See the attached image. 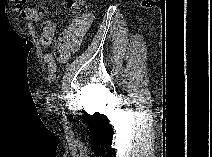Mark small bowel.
<instances>
[{
	"label": "small bowel",
	"instance_id": "c3829d8e",
	"mask_svg": "<svg viewBox=\"0 0 212 157\" xmlns=\"http://www.w3.org/2000/svg\"><path fill=\"white\" fill-rule=\"evenodd\" d=\"M27 0H17L18 13L30 22H36L40 25L39 43L42 46H49L52 44L56 25L53 21L44 19L41 11L35 8L25 7ZM93 21L91 13H85L81 17L73 19L71 24L67 26L57 37L53 54L46 53L43 55V62L47 66L48 77L50 80L55 79L57 74V59L61 63L68 61L71 52L78 44L79 40L90 28Z\"/></svg>",
	"mask_w": 212,
	"mask_h": 157
}]
</instances>
